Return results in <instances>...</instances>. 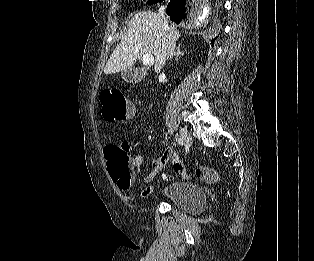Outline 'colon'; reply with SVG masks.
<instances>
[{
	"label": "colon",
	"instance_id": "obj_1",
	"mask_svg": "<svg viewBox=\"0 0 314 261\" xmlns=\"http://www.w3.org/2000/svg\"><path fill=\"white\" fill-rule=\"evenodd\" d=\"M102 116L109 123L126 120L132 115V107L124 93L118 88H107L100 94ZM129 145H109L104 149L107 171L114 182L121 188H129L132 184L133 162L129 153ZM197 178L207 183L219 180V174L207 166H198L195 170Z\"/></svg>",
	"mask_w": 314,
	"mask_h": 261
}]
</instances>
